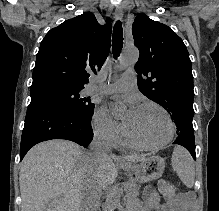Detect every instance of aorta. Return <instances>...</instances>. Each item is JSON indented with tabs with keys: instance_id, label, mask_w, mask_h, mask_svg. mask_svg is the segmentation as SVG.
<instances>
[{
	"instance_id": "1",
	"label": "aorta",
	"mask_w": 219,
	"mask_h": 211,
	"mask_svg": "<svg viewBox=\"0 0 219 211\" xmlns=\"http://www.w3.org/2000/svg\"><path fill=\"white\" fill-rule=\"evenodd\" d=\"M139 58V51L136 48H126L120 56L119 62L121 67H127L135 64ZM123 108H119L114 114L121 113ZM122 192L120 188L114 187L106 197L105 211H114L120 204Z\"/></svg>"
}]
</instances>
